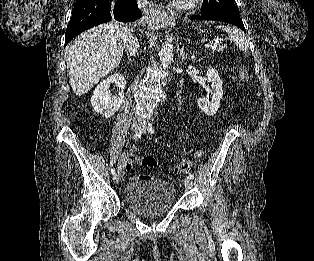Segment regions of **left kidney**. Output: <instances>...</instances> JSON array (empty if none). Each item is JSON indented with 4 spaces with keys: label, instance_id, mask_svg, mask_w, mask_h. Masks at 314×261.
Instances as JSON below:
<instances>
[{
    "label": "left kidney",
    "instance_id": "obj_1",
    "mask_svg": "<svg viewBox=\"0 0 314 261\" xmlns=\"http://www.w3.org/2000/svg\"><path fill=\"white\" fill-rule=\"evenodd\" d=\"M207 78L211 83V100L205 98H199L197 100V106L207 116H213L216 114L220 107V100L223 97V81L220 79L219 73L216 69L209 68L207 70Z\"/></svg>",
    "mask_w": 314,
    "mask_h": 261
}]
</instances>
